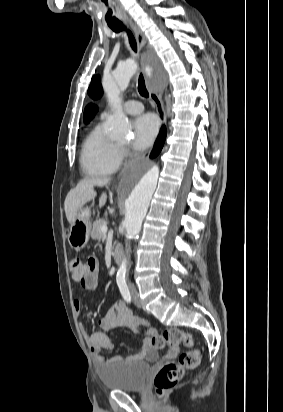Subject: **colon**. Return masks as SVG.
<instances>
[{"instance_id": "5ec220e1", "label": "colon", "mask_w": 283, "mask_h": 412, "mask_svg": "<svg viewBox=\"0 0 283 412\" xmlns=\"http://www.w3.org/2000/svg\"><path fill=\"white\" fill-rule=\"evenodd\" d=\"M71 277L76 281H81L87 275L95 272L98 263L95 257H89L85 262L79 258H74L68 265ZM153 348L161 349L165 346L183 345L186 348H192L194 337L191 333L176 328L165 330L161 334H154L150 338ZM200 363V353L197 350L190 349L183 352L177 361L165 364L154 379V387L159 396H163L166 391L173 388L182 378L188 369L196 368Z\"/></svg>"}]
</instances>
